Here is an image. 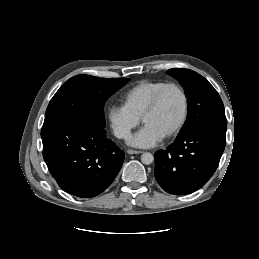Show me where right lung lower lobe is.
I'll return each mask as SVG.
<instances>
[{
  "mask_svg": "<svg viewBox=\"0 0 259 259\" xmlns=\"http://www.w3.org/2000/svg\"><path fill=\"white\" fill-rule=\"evenodd\" d=\"M43 158L58 185L69 194L90 198L115 179L124 151L106 138L104 128L82 118H66L41 129Z\"/></svg>",
  "mask_w": 259,
  "mask_h": 259,
  "instance_id": "1",
  "label": "right lung lower lobe"
}]
</instances>
